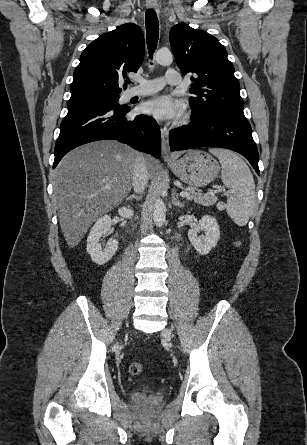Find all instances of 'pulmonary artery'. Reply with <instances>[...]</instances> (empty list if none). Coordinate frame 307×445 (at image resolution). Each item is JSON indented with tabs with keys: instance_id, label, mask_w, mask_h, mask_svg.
I'll return each mask as SVG.
<instances>
[{
	"instance_id": "pulmonary-artery-1",
	"label": "pulmonary artery",
	"mask_w": 307,
	"mask_h": 445,
	"mask_svg": "<svg viewBox=\"0 0 307 445\" xmlns=\"http://www.w3.org/2000/svg\"><path fill=\"white\" fill-rule=\"evenodd\" d=\"M152 79L166 80L167 84H175L177 90H186L188 87L187 82L185 81L184 76L181 75L180 69L167 68L162 72L151 77ZM144 78L141 76L137 77V80H143ZM164 83L159 81H139L137 87L139 92L129 91V95H150L157 92L159 89L163 87Z\"/></svg>"
}]
</instances>
